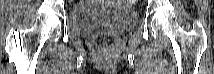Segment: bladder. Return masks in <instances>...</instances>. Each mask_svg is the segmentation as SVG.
Wrapping results in <instances>:
<instances>
[{"instance_id": "1", "label": "bladder", "mask_w": 214, "mask_h": 74, "mask_svg": "<svg viewBox=\"0 0 214 74\" xmlns=\"http://www.w3.org/2000/svg\"><path fill=\"white\" fill-rule=\"evenodd\" d=\"M136 20L135 12L122 7L108 6L107 2H80L68 14L70 30L80 36L87 34L95 25H108L122 32L131 28Z\"/></svg>"}]
</instances>
